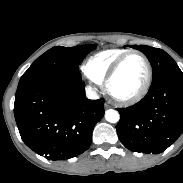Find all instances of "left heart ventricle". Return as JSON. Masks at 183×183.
Returning a JSON list of instances; mask_svg holds the SVG:
<instances>
[{
	"label": "left heart ventricle",
	"instance_id": "b2bd125f",
	"mask_svg": "<svg viewBox=\"0 0 183 183\" xmlns=\"http://www.w3.org/2000/svg\"><path fill=\"white\" fill-rule=\"evenodd\" d=\"M146 77V68L138 55L129 56L121 65L110 82V91L119 97H128L137 93Z\"/></svg>",
	"mask_w": 183,
	"mask_h": 183
}]
</instances>
